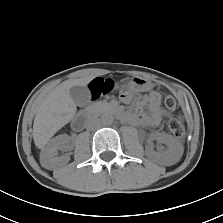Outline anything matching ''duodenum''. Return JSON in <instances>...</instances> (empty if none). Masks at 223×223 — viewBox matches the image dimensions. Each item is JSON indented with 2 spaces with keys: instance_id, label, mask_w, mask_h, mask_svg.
Instances as JSON below:
<instances>
[{
  "instance_id": "410a0bca",
  "label": "duodenum",
  "mask_w": 223,
  "mask_h": 223,
  "mask_svg": "<svg viewBox=\"0 0 223 223\" xmlns=\"http://www.w3.org/2000/svg\"><path fill=\"white\" fill-rule=\"evenodd\" d=\"M114 113L120 119L126 120V118H127L126 114L121 110H117ZM83 126H84V119L81 116H77L76 118H74V120L72 122L73 129L78 130V129H81Z\"/></svg>"
}]
</instances>
